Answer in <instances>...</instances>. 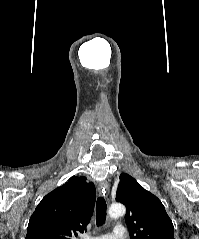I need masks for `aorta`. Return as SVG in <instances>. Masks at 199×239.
<instances>
[{"mask_svg": "<svg viewBox=\"0 0 199 239\" xmlns=\"http://www.w3.org/2000/svg\"><path fill=\"white\" fill-rule=\"evenodd\" d=\"M126 212V208L123 204L114 203L109 208V216L113 219L123 216Z\"/></svg>", "mask_w": 199, "mask_h": 239, "instance_id": "762f6f07", "label": "aorta"}]
</instances>
